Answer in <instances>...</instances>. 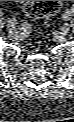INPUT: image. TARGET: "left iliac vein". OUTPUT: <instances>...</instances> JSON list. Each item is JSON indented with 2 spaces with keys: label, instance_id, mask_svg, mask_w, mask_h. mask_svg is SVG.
<instances>
[{
  "label": "left iliac vein",
  "instance_id": "left-iliac-vein-1",
  "mask_svg": "<svg viewBox=\"0 0 74 122\" xmlns=\"http://www.w3.org/2000/svg\"><path fill=\"white\" fill-rule=\"evenodd\" d=\"M70 16H71L70 11H66L63 15V19L65 21H68L70 19ZM69 30H70V25L68 23L64 24V26L62 27V32L66 34L69 32Z\"/></svg>",
  "mask_w": 74,
  "mask_h": 122
}]
</instances>
